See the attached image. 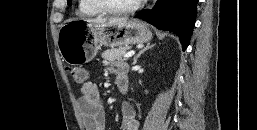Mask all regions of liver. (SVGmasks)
<instances>
[{
    "instance_id": "obj_1",
    "label": "liver",
    "mask_w": 257,
    "mask_h": 130,
    "mask_svg": "<svg viewBox=\"0 0 257 130\" xmlns=\"http://www.w3.org/2000/svg\"><path fill=\"white\" fill-rule=\"evenodd\" d=\"M123 20H126V18H110V19H107V18H102V17H99V18H95V19H88L86 20L88 22V24H91V25H100V24H113V23H117V22H120V21H123Z\"/></svg>"
}]
</instances>
